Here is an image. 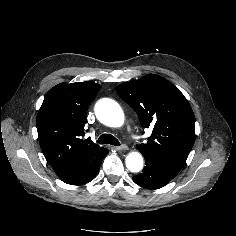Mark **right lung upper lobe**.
I'll return each mask as SVG.
<instances>
[{
  "label": "right lung upper lobe",
  "mask_w": 236,
  "mask_h": 236,
  "mask_svg": "<svg viewBox=\"0 0 236 236\" xmlns=\"http://www.w3.org/2000/svg\"><path fill=\"white\" fill-rule=\"evenodd\" d=\"M101 89L93 82L61 83L45 95L36 126L43 154L61 180L73 178L108 150L82 140L86 110Z\"/></svg>",
  "instance_id": "1"
}]
</instances>
